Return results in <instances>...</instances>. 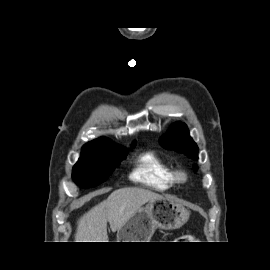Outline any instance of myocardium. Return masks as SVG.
<instances>
[{"instance_id":"myocardium-1","label":"myocardium","mask_w":270,"mask_h":270,"mask_svg":"<svg viewBox=\"0 0 270 270\" xmlns=\"http://www.w3.org/2000/svg\"><path fill=\"white\" fill-rule=\"evenodd\" d=\"M187 173L183 170H176L175 171V180L178 183H184L187 181Z\"/></svg>"}]
</instances>
